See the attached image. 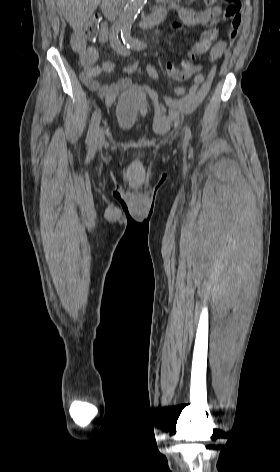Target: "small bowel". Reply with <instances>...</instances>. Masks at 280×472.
Returning <instances> with one entry per match:
<instances>
[{
	"mask_svg": "<svg viewBox=\"0 0 280 472\" xmlns=\"http://www.w3.org/2000/svg\"><path fill=\"white\" fill-rule=\"evenodd\" d=\"M204 0L205 9L194 10L170 1L168 8L176 11L179 21L173 23L174 29H179L184 26H202L201 39L189 50L187 57L192 60L197 55L209 51V60L214 62L222 57L227 43L224 40L216 41L217 29L216 25L222 13V4H215ZM240 25V24H239ZM239 25L236 27L230 26L227 32V37L230 40L236 38ZM110 38L108 27L102 24L99 32V42L105 43ZM73 50L78 54L79 61L82 66L81 80L93 92H96L104 101L106 105H112L120 92L125 90L130 85V80L123 78L110 84L102 85L96 77L104 72L114 71L115 65L111 61H105L101 65H96L98 59V52L95 47L87 45L83 36L75 33L71 38ZM140 67V61L122 68L123 73H133ZM201 65H193L192 82L188 89L184 87H177L174 92L179 98H172L168 96L162 97L164 103L161 102L160 94L153 90L149 85L144 88L151 97L154 105L157 126L164 129L167 128L171 122L191 113L196 109L204 98L207 96L212 86L213 79L216 74V68L212 67L208 74L204 76L201 73ZM144 73L149 80H155L157 73L155 68L148 64L144 68Z\"/></svg>",
	"mask_w": 280,
	"mask_h": 472,
	"instance_id": "small-bowel-1",
	"label": "small bowel"
}]
</instances>
